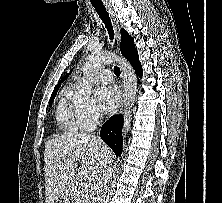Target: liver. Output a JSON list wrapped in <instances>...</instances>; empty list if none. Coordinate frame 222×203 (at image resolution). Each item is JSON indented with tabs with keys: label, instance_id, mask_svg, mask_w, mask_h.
I'll list each match as a JSON object with an SVG mask.
<instances>
[{
	"label": "liver",
	"instance_id": "6515ba94",
	"mask_svg": "<svg viewBox=\"0 0 222 203\" xmlns=\"http://www.w3.org/2000/svg\"><path fill=\"white\" fill-rule=\"evenodd\" d=\"M112 161L108 146L89 135L69 133L49 139L44 151L46 203L72 196L78 178L95 185Z\"/></svg>",
	"mask_w": 222,
	"mask_h": 203
}]
</instances>
